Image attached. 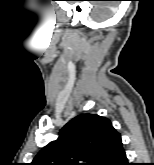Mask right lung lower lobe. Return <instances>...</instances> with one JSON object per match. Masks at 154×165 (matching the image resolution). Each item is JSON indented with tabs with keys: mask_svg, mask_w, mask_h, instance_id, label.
I'll return each mask as SVG.
<instances>
[{
	"mask_svg": "<svg viewBox=\"0 0 154 165\" xmlns=\"http://www.w3.org/2000/svg\"><path fill=\"white\" fill-rule=\"evenodd\" d=\"M97 165H129L122 147L121 136L118 134L108 145L106 152Z\"/></svg>",
	"mask_w": 154,
	"mask_h": 165,
	"instance_id": "right-lung-lower-lobe-1",
	"label": "right lung lower lobe"
}]
</instances>
